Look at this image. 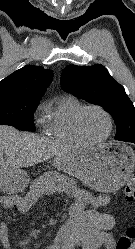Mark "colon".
Returning <instances> with one entry per match:
<instances>
[{"instance_id": "obj_1", "label": "colon", "mask_w": 135, "mask_h": 249, "mask_svg": "<svg viewBox=\"0 0 135 249\" xmlns=\"http://www.w3.org/2000/svg\"><path fill=\"white\" fill-rule=\"evenodd\" d=\"M125 197L128 201H135V175H133L125 186ZM135 240V227L127 229L126 233L117 241V249H130L132 241Z\"/></svg>"}]
</instances>
